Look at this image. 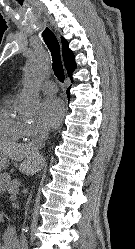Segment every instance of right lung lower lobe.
<instances>
[{"instance_id": "obj_1", "label": "right lung lower lobe", "mask_w": 135, "mask_h": 249, "mask_svg": "<svg viewBox=\"0 0 135 249\" xmlns=\"http://www.w3.org/2000/svg\"><path fill=\"white\" fill-rule=\"evenodd\" d=\"M67 97L70 98V88L67 90Z\"/></svg>"}]
</instances>
